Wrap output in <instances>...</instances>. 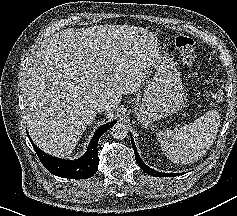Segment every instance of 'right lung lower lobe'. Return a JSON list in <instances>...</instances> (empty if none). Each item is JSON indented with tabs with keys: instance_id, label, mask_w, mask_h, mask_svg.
<instances>
[{
	"instance_id": "obj_1",
	"label": "right lung lower lobe",
	"mask_w": 237,
	"mask_h": 216,
	"mask_svg": "<svg viewBox=\"0 0 237 216\" xmlns=\"http://www.w3.org/2000/svg\"><path fill=\"white\" fill-rule=\"evenodd\" d=\"M115 123V121H112L99 127L90 141L87 152L81 158L74 161L63 160L46 154L36 147L28 133L27 135L41 163L50 173L63 178L86 179L92 177L98 169L99 157L97 144L99 138Z\"/></svg>"
}]
</instances>
